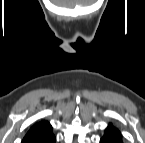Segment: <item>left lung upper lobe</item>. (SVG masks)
I'll return each mask as SVG.
<instances>
[{
	"label": "left lung upper lobe",
	"mask_w": 145,
	"mask_h": 143,
	"mask_svg": "<svg viewBox=\"0 0 145 143\" xmlns=\"http://www.w3.org/2000/svg\"><path fill=\"white\" fill-rule=\"evenodd\" d=\"M105 136L112 137V138L116 139L117 141L122 142V140H121V133L112 124H110L107 127V129L105 131Z\"/></svg>",
	"instance_id": "1"
}]
</instances>
